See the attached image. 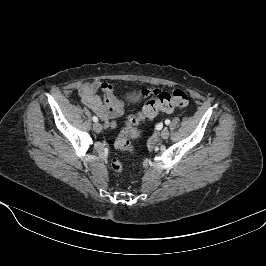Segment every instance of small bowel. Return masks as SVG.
I'll use <instances>...</instances> for the list:
<instances>
[{"instance_id":"1","label":"small bowel","mask_w":266,"mask_h":266,"mask_svg":"<svg viewBox=\"0 0 266 266\" xmlns=\"http://www.w3.org/2000/svg\"><path fill=\"white\" fill-rule=\"evenodd\" d=\"M78 93L82 103L104 120L107 127L115 125L114 120L123 114L126 107L125 100L116 95L108 82H86L79 87ZM143 94L147 95L148 91H143Z\"/></svg>"}]
</instances>
